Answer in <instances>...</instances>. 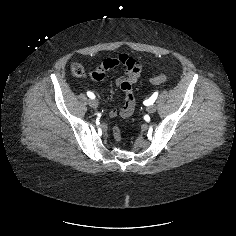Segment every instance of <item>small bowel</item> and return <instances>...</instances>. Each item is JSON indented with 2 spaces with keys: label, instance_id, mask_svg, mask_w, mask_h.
I'll use <instances>...</instances> for the list:
<instances>
[{
  "label": "small bowel",
  "instance_id": "obj_1",
  "mask_svg": "<svg viewBox=\"0 0 236 236\" xmlns=\"http://www.w3.org/2000/svg\"><path fill=\"white\" fill-rule=\"evenodd\" d=\"M116 67L124 69V75L116 80L117 86L125 95V103L121 109H111L110 117L121 116L129 118L135 109V98L133 85L140 80L142 64L139 59H135L128 54H120L118 57H107L103 62L95 66L90 72V77L97 82H103L107 73Z\"/></svg>",
  "mask_w": 236,
  "mask_h": 236
}]
</instances>
